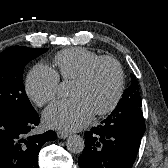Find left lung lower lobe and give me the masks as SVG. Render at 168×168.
Instances as JSON below:
<instances>
[{"mask_svg": "<svg viewBox=\"0 0 168 168\" xmlns=\"http://www.w3.org/2000/svg\"><path fill=\"white\" fill-rule=\"evenodd\" d=\"M145 132L141 108L115 110L85 133L80 168H131Z\"/></svg>", "mask_w": 168, "mask_h": 168, "instance_id": "1", "label": "left lung lower lobe"}]
</instances>
